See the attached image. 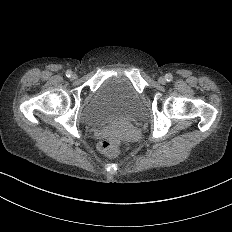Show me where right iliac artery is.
Returning <instances> with one entry per match:
<instances>
[{"instance_id":"82829eb1","label":"right iliac artery","mask_w":232,"mask_h":232,"mask_svg":"<svg viewBox=\"0 0 232 232\" xmlns=\"http://www.w3.org/2000/svg\"><path fill=\"white\" fill-rule=\"evenodd\" d=\"M66 76L69 78L72 76V71L71 70H67L66 71Z\"/></svg>"}]
</instances>
